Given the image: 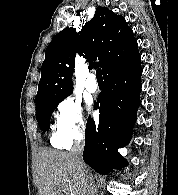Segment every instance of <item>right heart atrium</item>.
Segmentation results:
<instances>
[{"mask_svg":"<svg viewBox=\"0 0 178 195\" xmlns=\"http://www.w3.org/2000/svg\"><path fill=\"white\" fill-rule=\"evenodd\" d=\"M85 130L86 122L81 102L72 96L66 97L58 104L55 112V145L66 147L82 139Z\"/></svg>","mask_w":178,"mask_h":195,"instance_id":"1","label":"right heart atrium"}]
</instances>
